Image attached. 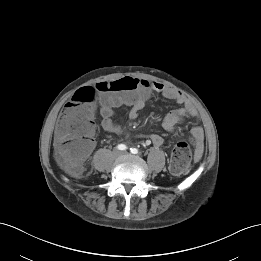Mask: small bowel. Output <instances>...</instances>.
Wrapping results in <instances>:
<instances>
[{
    "mask_svg": "<svg viewBox=\"0 0 261 261\" xmlns=\"http://www.w3.org/2000/svg\"><path fill=\"white\" fill-rule=\"evenodd\" d=\"M154 92L162 94L164 97L174 100L181 105L180 108L169 112L163 119V127L168 131H174L178 123L183 121L185 118H196L197 111L192 103L185 97V95L179 90L164 85L162 83H153L151 87L147 90H140L133 99H126L124 97H119L117 99H107L101 104L100 114H101V126L102 128L112 134H120L123 130L122 126L115 122V112L114 108L121 106H128L129 112L128 117L131 120H135L139 117L140 111L145 107L150 95ZM79 110L77 105L72 101V99L64 106L62 114L60 116L57 129H56V140L57 143H61L67 138L68 133L63 129V122L65 117L71 111ZM87 133L91 139V144L86 156H89L94 148V142L92 137L95 133V121L93 114L91 113L87 122ZM189 138L192 141L195 148V160L199 161L203 155L204 149V130L202 126L195 124L190 133ZM149 141L156 146L163 143V138L158 134H151L148 137Z\"/></svg>",
    "mask_w": 261,
    "mask_h": 261,
    "instance_id": "obj_1",
    "label": "small bowel"
}]
</instances>
